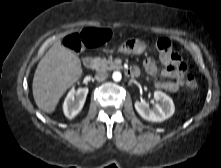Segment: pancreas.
Returning <instances> with one entry per match:
<instances>
[{
	"instance_id": "pancreas-1",
	"label": "pancreas",
	"mask_w": 221,
	"mask_h": 168,
	"mask_svg": "<svg viewBox=\"0 0 221 168\" xmlns=\"http://www.w3.org/2000/svg\"><path fill=\"white\" fill-rule=\"evenodd\" d=\"M94 65H95V69L100 71H108V70H113V69H117L118 66L110 59H106V58H99L96 57L94 58Z\"/></svg>"
}]
</instances>
